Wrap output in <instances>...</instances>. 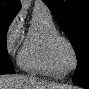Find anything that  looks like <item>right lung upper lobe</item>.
Wrapping results in <instances>:
<instances>
[{
	"instance_id": "obj_1",
	"label": "right lung upper lobe",
	"mask_w": 89,
	"mask_h": 89,
	"mask_svg": "<svg viewBox=\"0 0 89 89\" xmlns=\"http://www.w3.org/2000/svg\"><path fill=\"white\" fill-rule=\"evenodd\" d=\"M20 8V0H0V15L15 17Z\"/></svg>"
}]
</instances>
